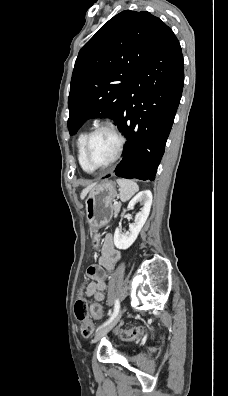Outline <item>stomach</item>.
Masks as SVG:
<instances>
[{"instance_id":"1","label":"stomach","mask_w":228,"mask_h":396,"mask_svg":"<svg viewBox=\"0 0 228 396\" xmlns=\"http://www.w3.org/2000/svg\"><path fill=\"white\" fill-rule=\"evenodd\" d=\"M85 201L87 220L92 229L103 227L112 217V201L117 195L112 182L91 185Z\"/></svg>"}]
</instances>
